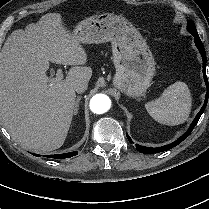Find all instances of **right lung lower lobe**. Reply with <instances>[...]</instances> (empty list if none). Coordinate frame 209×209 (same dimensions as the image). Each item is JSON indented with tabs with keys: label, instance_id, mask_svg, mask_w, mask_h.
<instances>
[{
	"label": "right lung lower lobe",
	"instance_id": "1",
	"mask_svg": "<svg viewBox=\"0 0 209 209\" xmlns=\"http://www.w3.org/2000/svg\"><path fill=\"white\" fill-rule=\"evenodd\" d=\"M35 156H39L38 154H34ZM77 155V152H70V153H64V154H57V155H46L48 158H54V159H64V158H70L72 156Z\"/></svg>",
	"mask_w": 209,
	"mask_h": 209
}]
</instances>
